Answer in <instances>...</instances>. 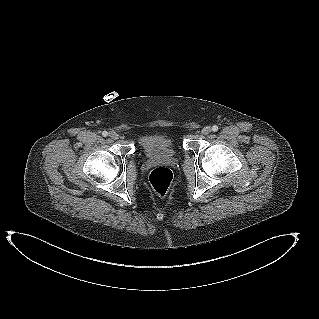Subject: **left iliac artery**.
Instances as JSON below:
<instances>
[{"label":"left iliac artery","instance_id":"obj_1","mask_svg":"<svg viewBox=\"0 0 319 319\" xmlns=\"http://www.w3.org/2000/svg\"><path fill=\"white\" fill-rule=\"evenodd\" d=\"M212 130H213L214 132L218 131V126H217V125H214V126L212 127Z\"/></svg>","mask_w":319,"mask_h":319}]
</instances>
